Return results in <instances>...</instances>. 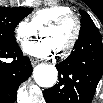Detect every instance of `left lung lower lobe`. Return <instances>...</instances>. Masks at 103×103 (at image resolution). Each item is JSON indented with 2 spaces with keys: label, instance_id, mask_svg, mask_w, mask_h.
<instances>
[{
  "label": "left lung lower lobe",
  "instance_id": "1",
  "mask_svg": "<svg viewBox=\"0 0 103 103\" xmlns=\"http://www.w3.org/2000/svg\"><path fill=\"white\" fill-rule=\"evenodd\" d=\"M59 82L44 91L47 103H91L103 71L98 29L79 36L69 57L56 65Z\"/></svg>",
  "mask_w": 103,
  "mask_h": 103
}]
</instances>
